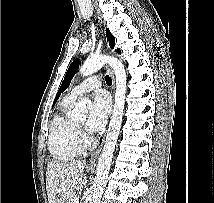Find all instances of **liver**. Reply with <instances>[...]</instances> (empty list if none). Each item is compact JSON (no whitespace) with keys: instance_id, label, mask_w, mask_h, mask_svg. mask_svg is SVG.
<instances>
[{"instance_id":"obj_1","label":"liver","mask_w":214,"mask_h":203,"mask_svg":"<svg viewBox=\"0 0 214 203\" xmlns=\"http://www.w3.org/2000/svg\"><path fill=\"white\" fill-rule=\"evenodd\" d=\"M85 163L82 161L57 162L47 165L46 190L49 203H66L81 191L87 179L83 177Z\"/></svg>"}]
</instances>
